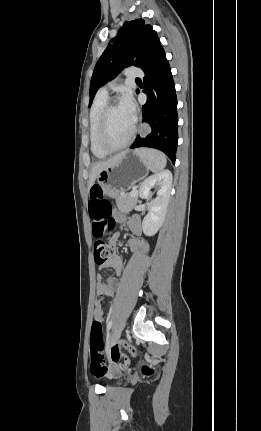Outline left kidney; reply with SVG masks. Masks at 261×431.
<instances>
[{
  "label": "left kidney",
  "instance_id": "1",
  "mask_svg": "<svg viewBox=\"0 0 261 431\" xmlns=\"http://www.w3.org/2000/svg\"><path fill=\"white\" fill-rule=\"evenodd\" d=\"M157 185L160 186V190L157 197L150 201L149 212L142 222L146 236L156 234L164 222L172 187V173L169 170H163L145 179L140 186V197L150 200L153 195L151 189Z\"/></svg>",
  "mask_w": 261,
  "mask_h": 431
}]
</instances>
